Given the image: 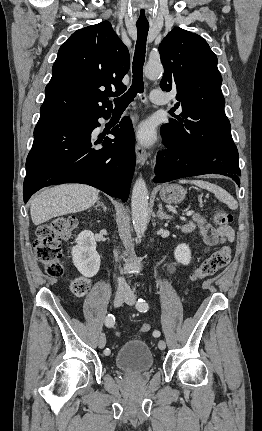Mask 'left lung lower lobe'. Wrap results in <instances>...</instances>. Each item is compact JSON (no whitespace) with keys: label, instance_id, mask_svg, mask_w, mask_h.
<instances>
[{"label":"left lung lower lobe","instance_id":"left-lung-lower-lobe-1","mask_svg":"<svg viewBox=\"0 0 262 431\" xmlns=\"http://www.w3.org/2000/svg\"><path fill=\"white\" fill-rule=\"evenodd\" d=\"M163 142L166 149L158 152L156 156L154 182L165 183L184 177L220 174L231 177L238 185L240 184L241 172L234 142L229 141L219 153L177 149L164 138Z\"/></svg>","mask_w":262,"mask_h":431}]
</instances>
